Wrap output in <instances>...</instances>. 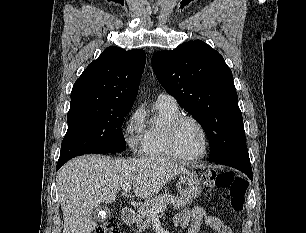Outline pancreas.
Returning <instances> with one entry per match:
<instances>
[{
  "instance_id": "1",
  "label": "pancreas",
  "mask_w": 306,
  "mask_h": 233,
  "mask_svg": "<svg viewBox=\"0 0 306 233\" xmlns=\"http://www.w3.org/2000/svg\"><path fill=\"white\" fill-rule=\"evenodd\" d=\"M167 204H171L173 209H180L186 204H190V201L169 193L161 194L148 199L138 208V215L136 219V224L139 230L138 233H142L150 228L153 217L151 210Z\"/></svg>"
}]
</instances>
